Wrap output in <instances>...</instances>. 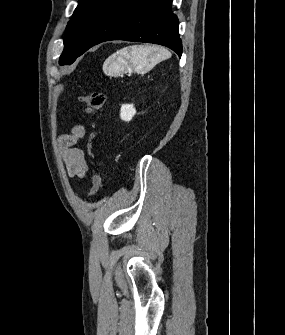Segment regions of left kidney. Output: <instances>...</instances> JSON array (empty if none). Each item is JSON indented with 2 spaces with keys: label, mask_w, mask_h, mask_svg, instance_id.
Listing matches in <instances>:
<instances>
[{
  "label": "left kidney",
  "mask_w": 285,
  "mask_h": 335,
  "mask_svg": "<svg viewBox=\"0 0 285 335\" xmlns=\"http://www.w3.org/2000/svg\"><path fill=\"white\" fill-rule=\"evenodd\" d=\"M135 114H136V110L133 104H123L121 108V114H120L121 120H124V122H130V120H132Z\"/></svg>",
  "instance_id": "1"
}]
</instances>
